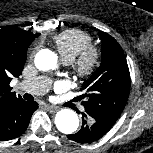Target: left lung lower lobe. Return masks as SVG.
Listing matches in <instances>:
<instances>
[{"mask_svg":"<svg viewBox=\"0 0 153 153\" xmlns=\"http://www.w3.org/2000/svg\"><path fill=\"white\" fill-rule=\"evenodd\" d=\"M83 125L75 134L68 135L70 140L78 143H92L99 140L109 130L103 127L100 123L93 121L86 114L82 113Z\"/></svg>","mask_w":153,"mask_h":153,"instance_id":"0a47b994","label":"left lung lower lobe"}]
</instances>
